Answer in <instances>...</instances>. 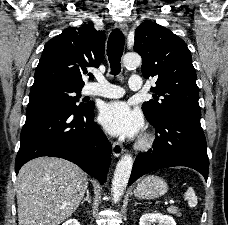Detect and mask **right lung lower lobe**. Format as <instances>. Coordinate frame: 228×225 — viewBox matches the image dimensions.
Wrapping results in <instances>:
<instances>
[{
	"instance_id": "right-lung-lower-lobe-1",
	"label": "right lung lower lobe",
	"mask_w": 228,
	"mask_h": 225,
	"mask_svg": "<svg viewBox=\"0 0 228 225\" xmlns=\"http://www.w3.org/2000/svg\"><path fill=\"white\" fill-rule=\"evenodd\" d=\"M94 105L76 109L64 103L27 108L21 131L15 171L40 156L67 159L105 182L111 161V144L93 121Z\"/></svg>"
}]
</instances>
